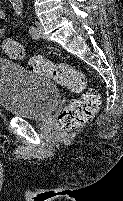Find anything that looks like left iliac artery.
Masks as SVG:
<instances>
[{"mask_svg":"<svg viewBox=\"0 0 123 201\" xmlns=\"http://www.w3.org/2000/svg\"><path fill=\"white\" fill-rule=\"evenodd\" d=\"M12 5H13V8H14V11L18 14V15H22V12H23V5H22V2L21 0H13L12 1ZM28 31L30 33V35H32L33 37L35 36L36 34V29L33 27V26H29L28 27Z\"/></svg>","mask_w":123,"mask_h":201,"instance_id":"obj_1","label":"left iliac artery"}]
</instances>
